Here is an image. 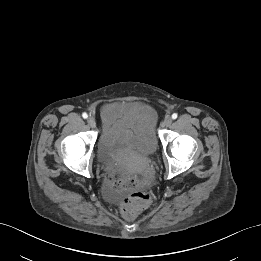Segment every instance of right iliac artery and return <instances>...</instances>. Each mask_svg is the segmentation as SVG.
<instances>
[{
  "label": "right iliac artery",
  "mask_w": 261,
  "mask_h": 261,
  "mask_svg": "<svg viewBox=\"0 0 261 261\" xmlns=\"http://www.w3.org/2000/svg\"><path fill=\"white\" fill-rule=\"evenodd\" d=\"M82 117H83L84 119H87V118H88L87 113H83V114H82Z\"/></svg>",
  "instance_id": "1"
}]
</instances>
